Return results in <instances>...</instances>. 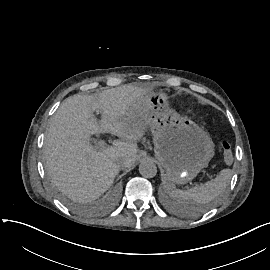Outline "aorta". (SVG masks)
I'll return each instance as SVG.
<instances>
[{"label":"aorta","mask_w":270,"mask_h":270,"mask_svg":"<svg viewBox=\"0 0 270 270\" xmlns=\"http://www.w3.org/2000/svg\"><path fill=\"white\" fill-rule=\"evenodd\" d=\"M139 172L145 178H152L157 173V167L155 163L151 160H142L139 165Z\"/></svg>","instance_id":"1"}]
</instances>
